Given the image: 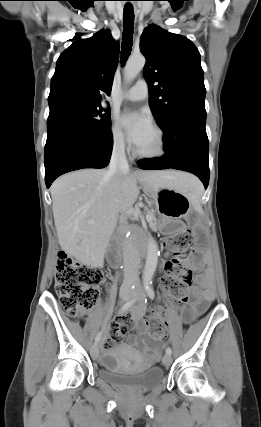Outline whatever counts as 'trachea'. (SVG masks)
<instances>
[{
    "instance_id": "obj_1",
    "label": "trachea",
    "mask_w": 261,
    "mask_h": 427,
    "mask_svg": "<svg viewBox=\"0 0 261 427\" xmlns=\"http://www.w3.org/2000/svg\"><path fill=\"white\" fill-rule=\"evenodd\" d=\"M134 29V11L130 4L124 6L123 14V35L121 46V64H125L132 50Z\"/></svg>"
}]
</instances>
